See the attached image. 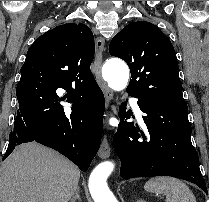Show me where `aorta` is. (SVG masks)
Masks as SVG:
<instances>
[{"instance_id":"762f6f07","label":"aorta","mask_w":209,"mask_h":202,"mask_svg":"<svg viewBox=\"0 0 209 202\" xmlns=\"http://www.w3.org/2000/svg\"><path fill=\"white\" fill-rule=\"evenodd\" d=\"M102 75L111 89L120 91L127 86L129 68L120 60L110 59L105 63ZM113 168V162L105 161L98 164L91 172L88 186L94 202H117L107 185V178Z\"/></svg>"}]
</instances>
